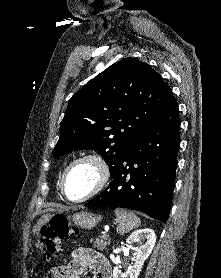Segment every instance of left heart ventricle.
Instances as JSON below:
<instances>
[{
	"instance_id": "obj_1",
	"label": "left heart ventricle",
	"mask_w": 221,
	"mask_h": 278,
	"mask_svg": "<svg viewBox=\"0 0 221 278\" xmlns=\"http://www.w3.org/2000/svg\"><path fill=\"white\" fill-rule=\"evenodd\" d=\"M97 180V169L91 163H80L74 166L67 175L65 190L72 199L86 195Z\"/></svg>"
}]
</instances>
